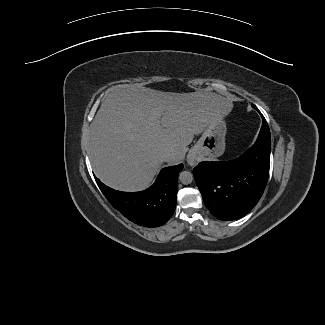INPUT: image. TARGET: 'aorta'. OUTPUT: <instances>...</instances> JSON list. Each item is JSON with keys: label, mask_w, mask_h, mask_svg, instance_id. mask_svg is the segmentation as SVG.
I'll return each mask as SVG.
<instances>
[{"label": "aorta", "mask_w": 325, "mask_h": 325, "mask_svg": "<svg viewBox=\"0 0 325 325\" xmlns=\"http://www.w3.org/2000/svg\"><path fill=\"white\" fill-rule=\"evenodd\" d=\"M193 174L189 171H183L179 175V180L182 184L188 185L193 181Z\"/></svg>", "instance_id": "obj_1"}]
</instances>
